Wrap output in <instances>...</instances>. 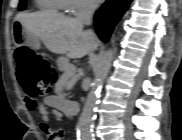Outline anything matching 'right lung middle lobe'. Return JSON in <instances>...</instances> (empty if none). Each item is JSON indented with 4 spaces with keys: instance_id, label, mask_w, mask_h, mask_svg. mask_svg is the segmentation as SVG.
Here are the masks:
<instances>
[{
    "instance_id": "1",
    "label": "right lung middle lobe",
    "mask_w": 182,
    "mask_h": 140,
    "mask_svg": "<svg viewBox=\"0 0 182 140\" xmlns=\"http://www.w3.org/2000/svg\"><path fill=\"white\" fill-rule=\"evenodd\" d=\"M25 3H26V0L20 1L19 10H23L26 7Z\"/></svg>"
}]
</instances>
